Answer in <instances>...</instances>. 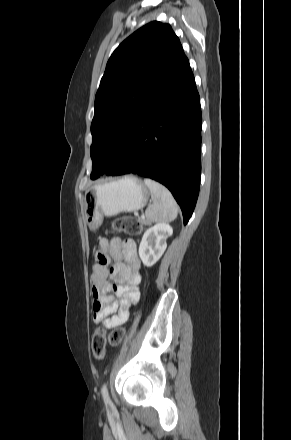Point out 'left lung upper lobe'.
Returning <instances> with one entry per match:
<instances>
[{
    "mask_svg": "<svg viewBox=\"0 0 291 440\" xmlns=\"http://www.w3.org/2000/svg\"><path fill=\"white\" fill-rule=\"evenodd\" d=\"M184 57L170 25L158 21L141 27L115 49L95 96L91 179L105 173Z\"/></svg>",
    "mask_w": 291,
    "mask_h": 440,
    "instance_id": "left-lung-upper-lobe-1",
    "label": "left lung upper lobe"
}]
</instances>
